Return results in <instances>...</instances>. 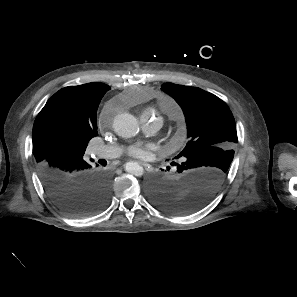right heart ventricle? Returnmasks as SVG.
<instances>
[{
    "label": "right heart ventricle",
    "instance_id": "right-heart-ventricle-1",
    "mask_svg": "<svg viewBox=\"0 0 297 297\" xmlns=\"http://www.w3.org/2000/svg\"><path fill=\"white\" fill-rule=\"evenodd\" d=\"M159 107L162 111L165 113H169L171 111V108L173 107L172 103L166 100H163L159 103Z\"/></svg>",
    "mask_w": 297,
    "mask_h": 297
}]
</instances>
